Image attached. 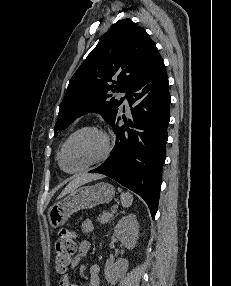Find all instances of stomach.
Wrapping results in <instances>:
<instances>
[{
    "label": "stomach",
    "instance_id": "1",
    "mask_svg": "<svg viewBox=\"0 0 231 286\" xmlns=\"http://www.w3.org/2000/svg\"><path fill=\"white\" fill-rule=\"evenodd\" d=\"M115 195L114 187L106 182L82 186L63 200L49 207L47 217L51 228L63 226L72 214L79 210L91 209L99 204L109 203Z\"/></svg>",
    "mask_w": 231,
    "mask_h": 286
}]
</instances>
